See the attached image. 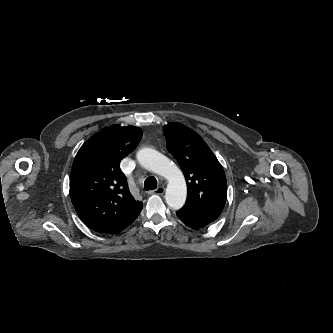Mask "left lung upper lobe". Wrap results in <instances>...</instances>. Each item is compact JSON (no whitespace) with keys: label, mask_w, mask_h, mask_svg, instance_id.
I'll list each match as a JSON object with an SVG mask.
<instances>
[{"label":"left lung upper lobe","mask_w":333,"mask_h":333,"mask_svg":"<svg viewBox=\"0 0 333 333\" xmlns=\"http://www.w3.org/2000/svg\"><path fill=\"white\" fill-rule=\"evenodd\" d=\"M167 150L184 173L188 196L184 208L220 216L227 197L224 170L203 139L180 123L164 126Z\"/></svg>","instance_id":"left-lung-upper-lobe-1"}]
</instances>
